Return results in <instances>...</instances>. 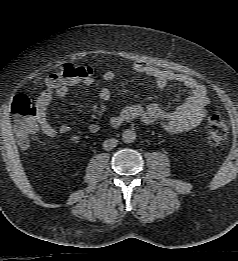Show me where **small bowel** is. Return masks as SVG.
I'll return each instance as SVG.
<instances>
[{
    "label": "small bowel",
    "mask_w": 238,
    "mask_h": 261,
    "mask_svg": "<svg viewBox=\"0 0 238 261\" xmlns=\"http://www.w3.org/2000/svg\"><path fill=\"white\" fill-rule=\"evenodd\" d=\"M132 69L138 74L152 77L159 89L165 88L171 82L179 83L189 91L190 96L181 106L171 112L164 111L156 103L128 105L117 115L110 118V124L113 127H120L125 123L139 120L147 125H158L166 133L175 135L191 130L202 122L210 102L204 85L186 74L159 69L145 62L134 63ZM115 79L116 73L113 71H106L103 74V80L106 85L100 88L98 92V97L101 100L107 101L110 99L111 91L109 85ZM93 82L92 73L57 83H52L49 80L47 88L39 94L35 104L38 127L46 136L55 137L71 131V126L68 124H62L58 129L50 124L47 112L52 100L55 97L64 98L69 89L75 84L82 83L90 86ZM99 130L100 126L97 123H91L88 126V131L92 134L97 133Z\"/></svg>",
    "instance_id": "obj_1"
}]
</instances>
